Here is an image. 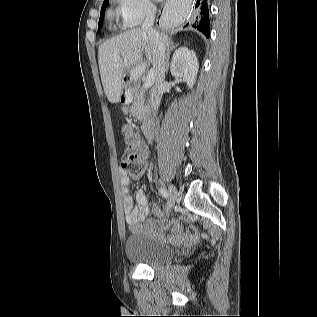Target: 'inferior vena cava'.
Instances as JSON below:
<instances>
[{
	"label": "inferior vena cava",
	"mask_w": 317,
	"mask_h": 317,
	"mask_svg": "<svg viewBox=\"0 0 317 317\" xmlns=\"http://www.w3.org/2000/svg\"><path fill=\"white\" fill-rule=\"evenodd\" d=\"M157 8L154 5H148L147 15L141 26L143 32L147 33L153 44L156 64L154 69V85L150 92V103L153 113H157L164 89L165 72L167 68L165 48L159 34L153 29Z\"/></svg>",
	"instance_id": "602c4592"
}]
</instances>
